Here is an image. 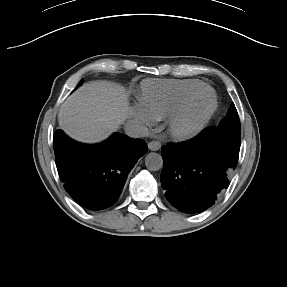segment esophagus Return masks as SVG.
I'll list each match as a JSON object with an SVG mask.
<instances>
[{
  "label": "esophagus",
  "instance_id": "34e87169",
  "mask_svg": "<svg viewBox=\"0 0 287 287\" xmlns=\"http://www.w3.org/2000/svg\"><path fill=\"white\" fill-rule=\"evenodd\" d=\"M148 148L151 151H158L161 148V143L159 141H155V140L150 141L148 143Z\"/></svg>",
  "mask_w": 287,
  "mask_h": 287
}]
</instances>
